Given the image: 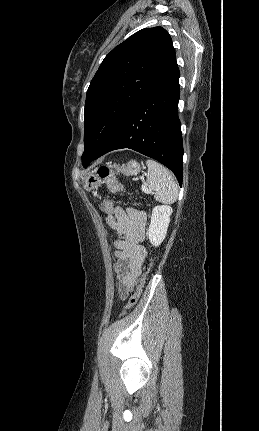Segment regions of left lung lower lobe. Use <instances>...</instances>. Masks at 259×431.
<instances>
[{"label": "left lung lower lobe", "instance_id": "1", "mask_svg": "<svg viewBox=\"0 0 259 431\" xmlns=\"http://www.w3.org/2000/svg\"><path fill=\"white\" fill-rule=\"evenodd\" d=\"M180 72L177 62L117 124L94 159L129 148L168 167L182 185L183 143L178 118Z\"/></svg>", "mask_w": 259, "mask_h": 431}]
</instances>
